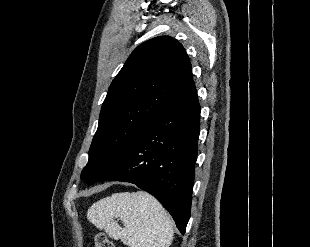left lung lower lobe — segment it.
<instances>
[{"label":"left lung lower lobe","mask_w":310,"mask_h":247,"mask_svg":"<svg viewBox=\"0 0 310 247\" xmlns=\"http://www.w3.org/2000/svg\"><path fill=\"white\" fill-rule=\"evenodd\" d=\"M200 105L195 85L146 129L126 157L99 181H124L152 194L182 234L190 218Z\"/></svg>","instance_id":"left-lung-lower-lobe-1"}]
</instances>
